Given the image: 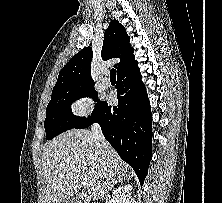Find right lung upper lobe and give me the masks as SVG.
<instances>
[{
    "instance_id": "cb5924a9",
    "label": "right lung upper lobe",
    "mask_w": 222,
    "mask_h": 203,
    "mask_svg": "<svg viewBox=\"0 0 222 203\" xmlns=\"http://www.w3.org/2000/svg\"><path fill=\"white\" fill-rule=\"evenodd\" d=\"M129 40L130 38L123 25L117 20L111 21L104 33L101 56L103 60L120 58V62L114 65L117 68V74L137 64ZM92 57L91 47L84 48L74 55L59 72L52 92L93 85L94 81L90 72Z\"/></svg>"
}]
</instances>
